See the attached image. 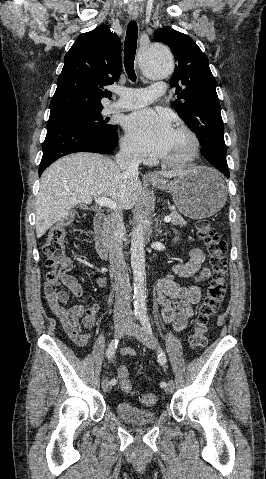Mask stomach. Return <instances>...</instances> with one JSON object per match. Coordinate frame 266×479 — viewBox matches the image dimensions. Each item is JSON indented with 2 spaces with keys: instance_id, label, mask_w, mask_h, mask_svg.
<instances>
[{
  "instance_id": "1",
  "label": "stomach",
  "mask_w": 266,
  "mask_h": 479,
  "mask_svg": "<svg viewBox=\"0 0 266 479\" xmlns=\"http://www.w3.org/2000/svg\"><path fill=\"white\" fill-rule=\"evenodd\" d=\"M160 189L169 190L181 214L203 219L217 213L227 198V189L219 174L209 167L185 171L175 180H152Z\"/></svg>"
}]
</instances>
